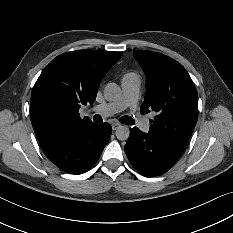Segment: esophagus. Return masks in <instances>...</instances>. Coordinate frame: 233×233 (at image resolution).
I'll return each instance as SVG.
<instances>
[{"instance_id":"obj_1","label":"esophagus","mask_w":233,"mask_h":233,"mask_svg":"<svg viewBox=\"0 0 233 233\" xmlns=\"http://www.w3.org/2000/svg\"><path fill=\"white\" fill-rule=\"evenodd\" d=\"M120 127H121V124H120V123H114V124H112V130H113V131L117 130V129L120 128Z\"/></svg>"}]
</instances>
